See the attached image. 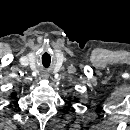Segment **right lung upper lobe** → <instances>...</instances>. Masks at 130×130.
<instances>
[{
  "mask_svg": "<svg viewBox=\"0 0 130 130\" xmlns=\"http://www.w3.org/2000/svg\"><path fill=\"white\" fill-rule=\"evenodd\" d=\"M12 98H15L16 97V93H12Z\"/></svg>",
  "mask_w": 130,
  "mask_h": 130,
  "instance_id": "1",
  "label": "right lung upper lobe"
}]
</instances>
